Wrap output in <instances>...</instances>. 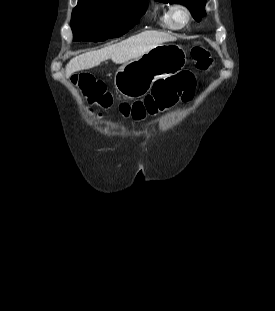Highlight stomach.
Wrapping results in <instances>:
<instances>
[{"mask_svg":"<svg viewBox=\"0 0 275 311\" xmlns=\"http://www.w3.org/2000/svg\"><path fill=\"white\" fill-rule=\"evenodd\" d=\"M186 62L187 55L182 47L161 44L120 66L114 77L115 89L129 98L142 97L156 79L176 75Z\"/></svg>","mask_w":275,"mask_h":311,"instance_id":"stomach-1","label":"stomach"}]
</instances>
